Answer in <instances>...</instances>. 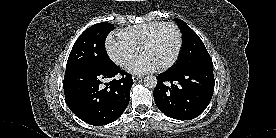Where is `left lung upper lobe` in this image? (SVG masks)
Instances as JSON below:
<instances>
[{"label":"left lung upper lobe","mask_w":276,"mask_h":138,"mask_svg":"<svg viewBox=\"0 0 276 138\" xmlns=\"http://www.w3.org/2000/svg\"><path fill=\"white\" fill-rule=\"evenodd\" d=\"M183 34V48L179 62L172 69L184 70L212 60L199 36L182 20L176 19Z\"/></svg>","instance_id":"5c2ea615"}]
</instances>
